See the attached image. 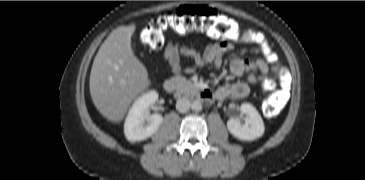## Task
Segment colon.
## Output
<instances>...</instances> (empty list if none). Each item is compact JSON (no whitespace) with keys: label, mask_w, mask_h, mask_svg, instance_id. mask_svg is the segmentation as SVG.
Masks as SVG:
<instances>
[{"label":"colon","mask_w":365,"mask_h":180,"mask_svg":"<svg viewBox=\"0 0 365 180\" xmlns=\"http://www.w3.org/2000/svg\"><path fill=\"white\" fill-rule=\"evenodd\" d=\"M197 29L204 30L211 38L220 42H246L242 38V32L234 28L229 19L223 18L213 8L197 5L182 6L174 12L161 13L142 29L140 39L150 48H160L169 33L183 35ZM285 76V69L277 64L275 73L263 85L264 91L269 93L267 109L272 116L283 108L281 92Z\"/></svg>","instance_id":"5ec220e1"}]
</instances>
